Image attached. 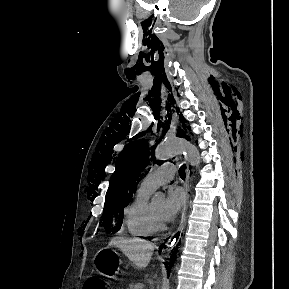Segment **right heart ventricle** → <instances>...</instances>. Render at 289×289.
<instances>
[{"mask_svg": "<svg viewBox=\"0 0 289 289\" xmlns=\"http://www.w3.org/2000/svg\"><path fill=\"white\" fill-rule=\"evenodd\" d=\"M149 195V191L138 189L124 211L126 228L135 237H151L156 233L148 213Z\"/></svg>", "mask_w": 289, "mask_h": 289, "instance_id": "e07e8e85", "label": "right heart ventricle"}]
</instances>
